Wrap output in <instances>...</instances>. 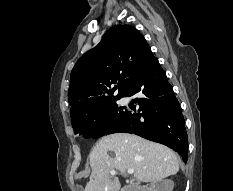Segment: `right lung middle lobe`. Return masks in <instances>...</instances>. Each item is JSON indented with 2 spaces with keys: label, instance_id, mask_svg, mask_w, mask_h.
I'll list each match as a JSON object with an SVG mask.
<instances>
[{
  "label": "right lung middle lobe",
  "instance_id": "dd1d6c3e",
  "mask_svg": "<svg viewBox=\"0 0 233 191\" xmlns=\"http://www.w3.org/2000/svg\"><path fill=\"white\" fill-rule=\"evenodd\" d=\"M120 98L103 103L84 113L71 117L74 133H80L86 138H99L105 135L126 112L116 104V101Z\"/></svg>",
  "mask_w": 233,
  "mask_h": 191
}]
</instances>
